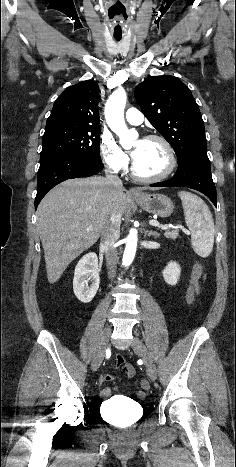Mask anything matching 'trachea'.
Instances as JSON below:
<instances>
[{
  "instance_id": "3493384b",
  "label": "trachea",
  "mask_w": 236,
  "mask_h": 467,
  "mask_svg": "<svg viewBox=\"0 0 236 467\" xmlns=\"http://www.w3.org/2000/svg\"><path fill=\"white\" fill-rule=\"evenodd\" d=\"M115 39H116L117 41H119L121 38H117V37H116Z\"/></svg>"
}]
</instances>
